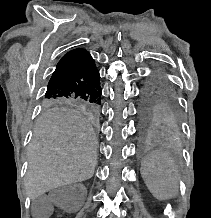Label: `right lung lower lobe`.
Segmentation results:
<instances>
[{
    "label": "right lung lower lobe",
    "mask_w": 211,
    "mask_h": 218,
    "mask_svg": "<svg viewBox=\"0 0 211 218\" xmlns=\"http://www.w3.org/2000/svg\"><path fill=\"white\" fill-rule=\"evenodd\" d=\"M100 75L84 49L65 54L48 83L45 97H77L101 104Z\"/></svg>",
    "instance_id": "obj_1"
}]
</instances>
